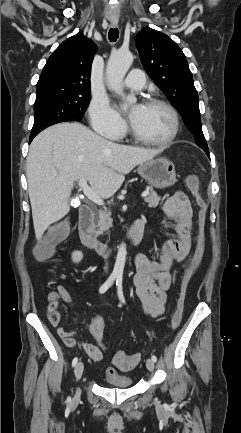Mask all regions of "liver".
Here are the masks:
<instances>
[{"label": "liver", "mask_w": 241, "mask_h": 433, "mask_svg": "<svg viewBox=\"0 0 241 433\" xmlns=\"http://www.w3.org/2000/svg\"><path fill=\"white\" fill-rule=\"evenodd\" d=\"M161 151L113 143L80 123H59L42 131L30 145L26 164L37 240L70 211L75 181L84 178L101 198H110L126 174Z\"/></svg>", "instance_id": "obj_1"}]
</instances>
